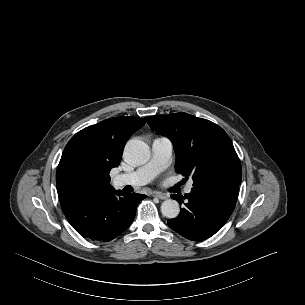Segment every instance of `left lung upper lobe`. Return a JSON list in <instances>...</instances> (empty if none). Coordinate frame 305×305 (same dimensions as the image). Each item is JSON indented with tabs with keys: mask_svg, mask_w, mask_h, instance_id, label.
Listing matches in <instances>:
<instances>
[{
	"mask_svg": "<svg viewBox=\"0 0 305 305\" xmlns=\"http://www.w3.org/2000/svg\"><path fill=\"white\" fill-rule=\"evenodd\" d=\"M147 122L171 140L176 172L191 175L193 188L241 184L240 160L229 136L217 124L182 112L149 116Z\"/></svg>",
	"mask_w": 305,
	"mask_h": 305,
	"instance_id": "5c2ea615",
	"label": "left lung upper lobe"
}]
</instances>
